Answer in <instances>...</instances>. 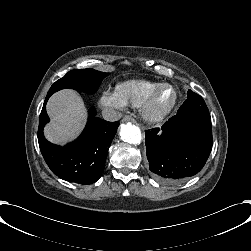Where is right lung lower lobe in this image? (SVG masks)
Wrapping results in <instances>:
<instances>
[{"mask_svg":"<svg viewBox=\"0 0 251 251\" xmlns=\"http://www.w3.org/2000/svg\"><path fill=\"white\" fill-rule=\"evenodd\" d=\"M45 99L38 128V142L45 162L51 171L63 180L88 185L96 182L105 168L109 146L116 134L119 122H107L89 112V119L77 140L59 147L50 143L43 135L49 122Z\"/></svg>","mask_w":251,"mask_h":251,"instance_id":"right-lung-lower-lobe-1","label":"right lung lower lobe"}]
</instances>
